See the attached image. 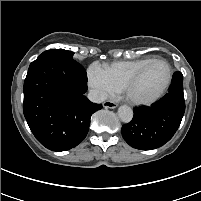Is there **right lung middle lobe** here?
I'll return each instance as SVG.
<instances>
[{
  "label": "right lung middle lobe",
  "mask_w": 201,
  "mask_h": 201,
  "mask_svg": "<svg viewBox=\"0 0 201 201\" xmlns=\"http://www.w3.org/2000/svg\"><path fill=\"white\" fill-rule=\"evenodd\" d=\"M74 53L64 49H52L43 52L38 58L41 57H58L65 60H73Z\"/></svg>",
  "instance_id": "obj_1"
}]
</instances>
